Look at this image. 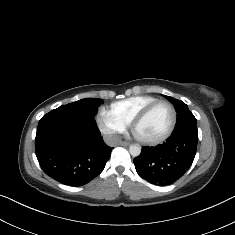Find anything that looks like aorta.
I'll return each mask as SVG.
<instances>
[{"label":"aorta","instance_id":"aorta-1","mask_svg":"<svg viewBox=\"0 0 235 235\" xmlns=\"http://www.w3.org/2000/svg\"><path fill=\"white\" fill-rule=\"evenodd\" d=\"M129 152L133 157H137L141 153V147L139 145H130Z\"/></svg>","mask_w":235,"mask_h":235}]
</instances>
